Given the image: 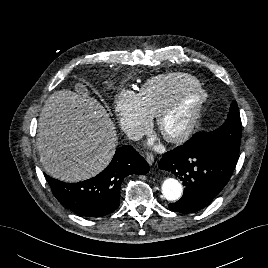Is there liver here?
<instances>
[{
	"label": "liver",
	"instance_id": "obj_1",
	"mask_svg": "<svg viewBox=\"0 0 268 268\" xmlns=\"http://www.w3.org/2000/svg\"><path fill=\"white\" fill-rule=\"evenodd\" d=\"M59 90L46 100L38 123L37 148L46 173L78 182L100 173L117 146L115 125L106 109L87 94Z\"/></svg>",
	"mask_w": 268,
	"mask_h": 268
}]
</instances>
